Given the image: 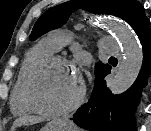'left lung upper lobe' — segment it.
I'll list each match as a JSON object with an SVG mask.
<instances>
[{
	"mask_svg": "<svg viewBox=\"0 0 151 131\" xmlns=\"http://www.w3.org/2000/svg\"><path fill=\"white\" fill-rule=\"evenodd\" d=\"M142 5L137 0H72L48 9L35 23L30 40H35L46 32L66 23L70 14L78 8H84L95 14H109L120 17L131 25ZM109 65L97 63L95 78Z\"/></svg>",
	"mask_w": 151,
	"mask_h": 131,
	"instance_id": "5c2ea615",
	"label": "left lung upper lobe"
}]
</instances>
